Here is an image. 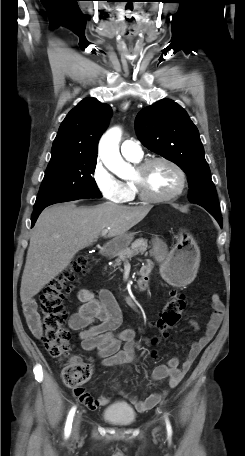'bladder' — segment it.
Segmentation results:
<instances>
[{
	"label": "bladder",
	"instance_id": "31cf9c89",
	"mask_svg": "<svg viewBox=\"0 0 245 456\" xmlns=\"http://www.w3.org/2000/svg\"><path fill=\"white\" fill-rule=\"evenodd\" d=\"M103 417L116 425H130L135 421L136 413L127 403L116 402L105 408Z\"/></svg>",
	"mask_w": 245,
	"mask_h": 456
}]
</instances>
